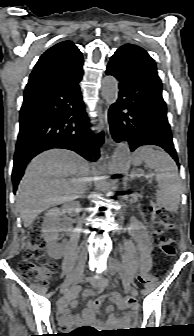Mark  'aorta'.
I'll use <instances>...</instances> for the list:
<instances>
[{"instance_id":"762f6f07","label":"aorta","mask_w":194,"mask_h":336,"mask_svg":"<svg viewBox=\"0 0 194 336\" xmlns=\"http://www.w3.org/2000/svg\"><path fill=\"white\" fill-rule=\"evenodd\" d=\"M118 83L112 76H106L102 82V96L105 101L111 105L118 99ZM130 148L127 142H120L112 156L109 164V173L111 175H120L126 172L129 165ZM114 182H112L113 184Z\"/></svg>"}]
</instances>
